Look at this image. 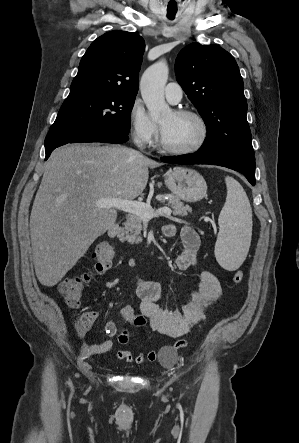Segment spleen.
<instances>
[{"instance_id":"spleen-1","label":"spleen","mask_w":299,"mask_h":443,"mask_svg":"<svg viewBox=\"0 0 299 443\" xmlns=\"http://www.w3.org/2000/svg\"><path fill=\"white\" fill-rule=\"evenodd\" d=\"M226 202L219 215L215 257L228 271L238 269L249 251L252 235V209L243 187L234 178H225Z\"/></svg>"}]
</instances>
